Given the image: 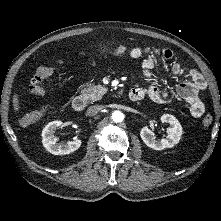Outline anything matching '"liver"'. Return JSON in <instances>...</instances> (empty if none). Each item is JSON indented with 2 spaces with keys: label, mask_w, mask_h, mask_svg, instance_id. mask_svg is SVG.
Listing matches in <instances>:
<instances>
[{
  "label": "liver",
  "mask_w": 221,
  "mask_h": 221,
  "mask_svg": "<svg viewBox=\"0 0 221 221\" xmlns=\"http://www.w3.org/2000/svg\"><path fill=\"white\" fill-rule=\"evenodd\" d=\"M13 106H14V110L18 111L19 110V100H18V95L15 94L13 97Z\"/></svg>",
  "instance_id": "6515ba94"
}]
</instances>
